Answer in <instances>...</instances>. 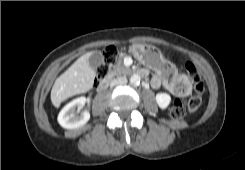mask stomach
Listing matches in <instances>:
<instances>
[{
	"instance_id": "0dacf381",
	"label": "stomach",
	"mask_w": 245,
	"mask_h": 170,
	"mask_svg": "<svg viewBox=\"0 0 245 170\" xmlns=\"http://www.w3.org/2000/svg\"><path fill=\"white\" fill-rule=\"evenodd\" d=\"M130 53L140 63L151 69H158L164 62L161 52L150 45L133 44L130 46ZM177 81L184 82V79L178 77ZM184 84L187 86V89L190 88L188 81H185Z\"/></svg>"
}]
</instances>
